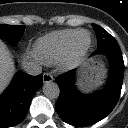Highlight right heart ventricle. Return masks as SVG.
I'll return each instance as SVG.
<instances>
[{
    "label": "right heart ventricle",
    "instance_id": "1",
    "mask_svg": "<svg viewBox=\"0 0 128 128\" xmlns=\"http://www.w3.org/2000/svg\"><path fill=\"white\" fill-rule=\"evenodd\" d=\"M78 31L80 30L55 31L39 38L34 45L35 56L46 64L57 62L63 58Z\"/></svg>",
    "mask_w": 128,
    "mask_h": 128
}]
</instances>
